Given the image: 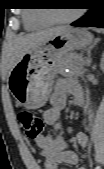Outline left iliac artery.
<instances>
[{
  "mask_svg": "<svg viewBox=\"0 0 104 169\" xmlns=\"http://www.w3.org/2000/svg\"><path fill=\"white\" fill-rule=\"evenodd\" d=\"M96 169H100V166H97Z\"/></svg>",
  "mask_w": 104,
  "mask_h": 169,
  "instance_id": "1",
  "label": "left iliac artery"
}]
</instances>
